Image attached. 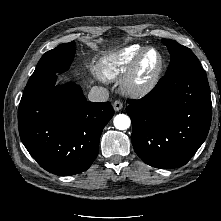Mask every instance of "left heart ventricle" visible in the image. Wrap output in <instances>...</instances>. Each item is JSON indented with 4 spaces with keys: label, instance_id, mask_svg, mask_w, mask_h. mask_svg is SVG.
Here are the masks:
<instances>
[{
    "label": "left heart ventricle",
    "instance_id": "obj_1",
    "mask_svg": "<svg viewBox=\"0 0 221 221\" xmlns=\"http://www.w3.org/2000/svg\"><path fill=\"white\" fill-rule=\"evenodd\" d=\"M157 62L158 57L154 51L147 53L141 64L140 77L142 79L146 78L155 69Z\"/></svg>",
    "mask_w": 221,
    "mask_h": 221
}]
</instances>
